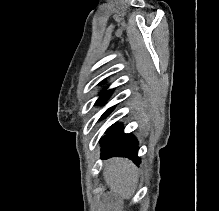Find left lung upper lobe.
<instances>
[{
  "label": "left lung upper lobe",
  "instance_id": "1",
  "mask_svg": "<svg viewBox=\"0 0 219 211\" xmlns=\"http://www.w3.org/2000/svg\"><path fill=\"white\" fill-rule=\"evenodd\" d=\"M113 91H114V90L111 89V90H107V91H105L104 93H102V94L100 95V97L98 98V100L96 101L95 105H102V104H104V103L106 102V100L111 96V94H112ZM113 109H114V107H110L109 109H107V110L103 113V115L101 116V119H103V118H105L106 116H108V115L112 112ZM116 125H117V124H114V125H112L110 128H108L107 132H111V131L115 128Z\"/></svg>",
  "mask_w": 219,
  "mask_h": 211
}]
</instances>
